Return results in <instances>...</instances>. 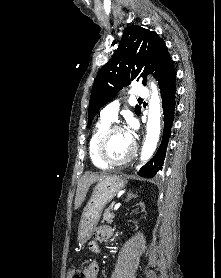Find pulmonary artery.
<instances>
[{"label":"pulmonary artery","mask_w":221,"mask_h":278,"mask_svg":"<svg viewBox=\"0 0 221 278\" xmlns=\"http://www.w3.org/2000/svg\"><path fill=\"white\" fill-rule=\"evenodd\" d=\"M132 97L134 98H147L148 96V91L146 87L143 86H136L134 87L132 94ZM120 107V102L119 100H114L108 105H106L102 110H101V118L113 122L117 119L118 117V111Z\"/></svg>","instance_id":"e3ab8cb5"}]
</instances>
